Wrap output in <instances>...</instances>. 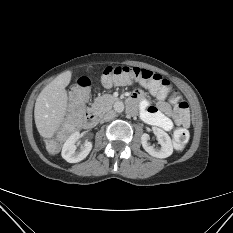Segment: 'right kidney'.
<instances>
[{"label":"right kidney","instance_id":"right-kidney-1","mask_svg":"<svg viewBox=\"0 0 233 233\" xmlns=\"http://www.w3.org/2000/svg\"><path fill=\"white\" fill-rule=\"evenodd\" d=\"M80 138L79 132L72 133L62 147V158L69 163H77L87 157L92 149V142L86 141L79 151H76L77 147L75 143Z\"/></svg>","mask_w":233,"mask_h":233}]
</instances>
